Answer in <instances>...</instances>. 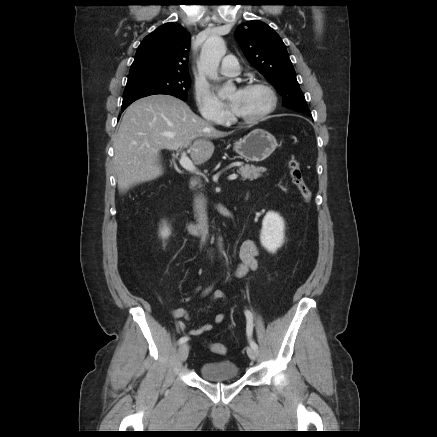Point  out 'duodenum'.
<instances>
[{"label":"duodenum","instance_id":"duodenum-1","mask_svg":"<svg viewBox=\"0 0 437 437\" xmlns=\"http://www.w3.org/2000/svg\"><path fill=\"white\" fill-rule=\"evenodd\" d=\"M187 227L193 234H199L202 228L199 224L193 222L187 223Z\"/></svg>","mask_w":437,"mask_h":437}]
</instances>
